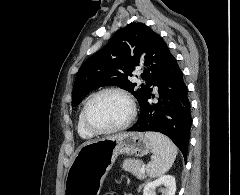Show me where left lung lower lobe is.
<instances>
[{"label": "left lung lower lobe", "mask_w": 240, "mask_h": 195, "mask_svg": "<svg viewBox=\"0 0 240 195\" xmlns=\"http://www.w3.org/2000/svg\"><path fill=\"white\" fill-rule=\"evenodd\" d=\"M152 85L158 87V102H148L149 98L155 97L150 88L138 121L127 131L161 132L178 146L187 159L192 124L190 101L183 73L173 55Z\"/></svg>", "instance_id": "1"}]
</instances>
